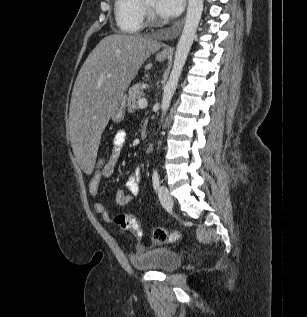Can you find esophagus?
I'll list each match as a JSON object with an SVG mask.
<instances>
[{
  "instance_id": "esophagus-1",
  "label": "esophagus",
  "mask_w": 307,
  "mask_h": 317,
  "mask_svg": "<svg viewBox=\"0 0 307 317\" xmlns=\"http://www.w3.org/2000/svg\"><path fill=\"white\" fill-rule=\"evenodd\" d=\"M173 49L172 48H166L164 50L165 53H172Z\"/></svg>"
}]
</instances>
